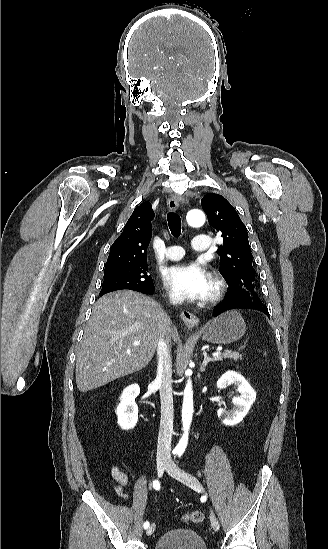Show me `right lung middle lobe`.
Masks as SVG:
<instances>
[{
  "mask_svg": "<svg viewBox=\"0 0 328 549\" xmlns=\"http://www.w3.org/2000/svg\"><path fill=\"white\" fill-rule=\"evenodd\" d=\"M121 289L142 293L154 289L153 280L148 274L147 263L105 271L100 295Z\"/></svg>",
  "mask_w": 328,
  "mask_h": 549,
  "instance_id": "right-lung-middle-lobe-1",
  "label": "right lung middle lobe"
}]
</instances>
